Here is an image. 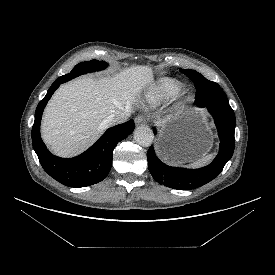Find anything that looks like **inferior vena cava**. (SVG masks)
I'll return each mask as SVG.
<instances>
[{"label": "inferior vena cava", "mask_w": 275, "mask_h": 275, "mask_svg": "<svg viewBox=\"0 0 275 275\" xmlns=\"http://www.w3.org/2000/svg\"><path fill=\"white\" fill-rule=\"evenodd\" d=\"M130 114H131L130 110H125L123 112L116 111L113 114L109 115L104 122L108 125L121 124L127 121Z\"/></svg>", "instance_id": "obj_1"}]
</instances>
